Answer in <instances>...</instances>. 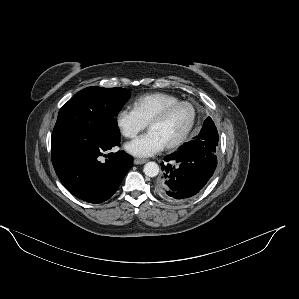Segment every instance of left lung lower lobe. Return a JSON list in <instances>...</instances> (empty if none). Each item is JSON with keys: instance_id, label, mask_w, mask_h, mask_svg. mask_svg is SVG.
Instances as JSON below:
<instances>
[{"instance_id": "obj_1", "label": "left lung lower lobe", "mask_w": 299, "mask_h": 299, "mask_svg": "<svg viewBox=\"0 0 299 299\" xmlns=\"http://www.w3.org/2000/svg\"><path fill=\"white\" fill-rule=\"evenodd\" d=\"M206 135L183 144L161 163L163 176L156 185L157 194L168 201H182L196 195L212 177L217 156ZM173 163V164H171Z\"/></svg>"}]
</instances>
